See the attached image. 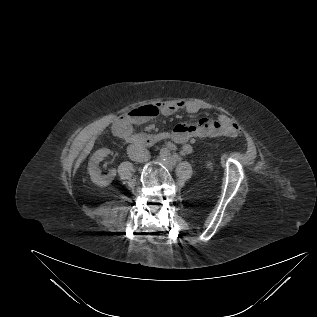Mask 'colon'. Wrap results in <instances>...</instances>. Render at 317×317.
I'll return each mask as SVG.
<instances>
[{
	"mask_svg": "<svg viewBox=\"0 0 317 317\" xmlns=\"http://www.w3.org/2000/svg\"><path fill=\"white\" fill-rule=\"evenodd\" d=\"M160 113V108L155 104H147L131 110L128 114L133 120L154 118Z\"/></svg>",
	"mask_w": 317,
	"mask_h": 317,
	"instance_id": "obj_1",
	"label": "colon"
}]
</instances>
